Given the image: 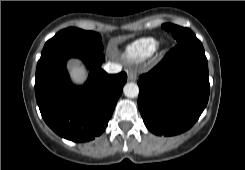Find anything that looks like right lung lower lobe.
<instances>
[{
  "label": "right lung lower lobe",
  "instance_id": "1",
  "mask_svg": "<svg viewBox=\"0 0 245 170\" xmlns=\"http://www.w3.org/2000/svg\"><path fill=\"white\" fill-rule=\"evenodd\" d=\"M71 57L83 60L90 70L84 86H74L69 80L66 61ZM103 61L100 50L65 49L37 65V104L44 121L59 136L86 142L108 125L127 74H107L100 68Z\"/></svg>",
  "mask_w": 245,
  "mask_h": 170
}]
</instances>
